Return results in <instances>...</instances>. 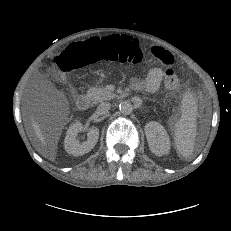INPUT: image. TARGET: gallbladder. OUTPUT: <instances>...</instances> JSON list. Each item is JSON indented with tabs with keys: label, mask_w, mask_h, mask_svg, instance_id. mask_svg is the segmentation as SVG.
Masks as SVG:
<instances>
[{
	"label": "gallbladder",
	"mask_w": 231,
	"mask_h": 231,
	"mask_svg": "<svg viewBox=\"0 0 231 231\" xmlns=\"http://www.w3.org/2000/svg\"><path fill=\"white\" fill-rule=\"evenodd\" d=\"M47 89H48V90H51V91L54 90V88H53L51 85H48V86H47Z\"/></svg>",
	"instance_id": "gallbladder-1"
}]
</instances>
